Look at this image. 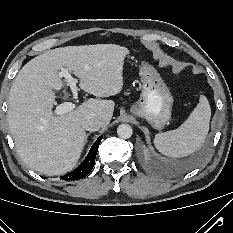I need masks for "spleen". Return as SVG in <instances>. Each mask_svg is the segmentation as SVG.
I'll return each mask as SVG.
<instances>
[{
  "label": "spleen",
  "instance_id": "1",
  "mask_svg": "<svg viewBox=\"0 0 233 233\" xmlns=\"http://www.w3.org/2000/svg\"><path fill=\"white\" fill-rule=\"evenodd\" d=\"M211 108L203 95L187 120L177 129L158 133L155 147L169 157H184L201 147L209 131Z\"/></svg>",
  "mask_w": 233,
  "mask_h": 233
}]
</instances>
